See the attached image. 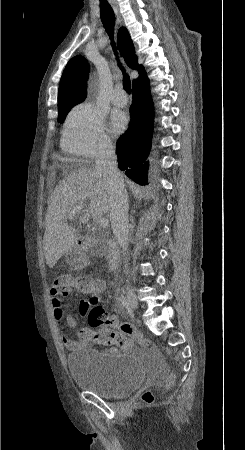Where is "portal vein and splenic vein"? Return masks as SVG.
<instances>
[{"mask_svg": "<svg viewBox=\"0 0 245 450\" xmlns=\"http://www.w3.org/2000/svg\"><path fill=\"white\" fill-rule=\"evenodd\" d=\"M83 211H85L84 206L82 205L76 206L69 214L68 218L73 219L77 213H81ZM108 223H109L108 219L106 218H100L98 221V224L101 228H106L108 226Z\"/></svg>", "mask_w": 245, "mask_h": 450, "instance_id": "obj_1", "label": "portal vein and splenic vein"}]
</instances>
